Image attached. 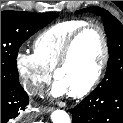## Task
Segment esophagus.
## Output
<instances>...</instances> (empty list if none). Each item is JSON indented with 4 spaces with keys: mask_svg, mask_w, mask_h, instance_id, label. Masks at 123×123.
I'll use <instances>...</instances> for the list:
<instances>
[{
    "mask_svg": "<svg viewBox=\"0 0 123 123\" xmlns=\"http://www.w3.org/2000/svg\"><path fill=\"white\" fill-rule=\"evenodd\" d=\"M41 111L44 113H50L51 111H53V107H42Z\"/></svg>",
    "mask_w": 123,
    "mask_h": 123,
    "instance_id": "34e87169",
    "label": "esophagus"
}]
</instances>
